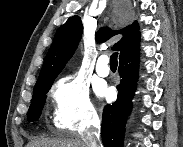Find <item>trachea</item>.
<instances>
[{"instance_id":"3493384b","label":"trachea","mask_w":183,"mask_h":147,"mask_svg":"<svg viewBox=\"0 0 183 147\" xmlns=\"http://www.w3.org/2000/svg\"><path fill=\"white\" fill-rule=\"evenodd\" d=\"M118 53L114 52L111 56H110V67H117L118 66Z\"/></svg>"}]
</instances>
